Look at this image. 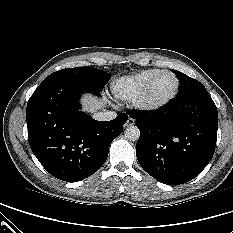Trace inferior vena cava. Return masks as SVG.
<instances>
[{
	"label": "inferior vena cava",
	"instance_id": "obj_1",
	"mask_svg": "<svg viewBox=\"0 0 233 233\" xmlns=\"http://www.w3.org/2000/svg\"><path fill=\"white\" fill-rule=\"evenodd\" d=\"M94 119L99 121H110L117 117L116 112L114 111H102L94 114Z\"/></svg>",
	"mask_w": 233,
	"mask_h": 233
}]
</instances>
